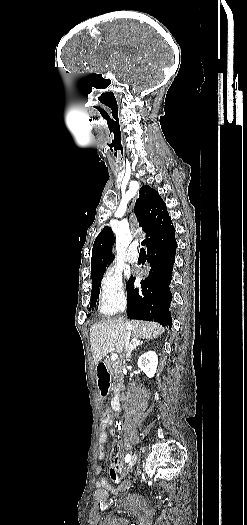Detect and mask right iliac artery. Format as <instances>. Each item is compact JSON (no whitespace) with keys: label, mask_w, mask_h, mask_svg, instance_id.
<instances>
[{"label":"right iliac artery","mask_w":247,"mask_h":525,"mask_svg":"<svg viewBox=\"0 0 247 525\" xmlns=\"http://www.w3.org/2000/svg\"><path fill=\"white\" fill-rule=\"evenodd\" d=\"M131 460L130 454H127L125 457V462H129Z\"/></svg>","instance_id":"right-iliac-artery-1"}]
</instances>
